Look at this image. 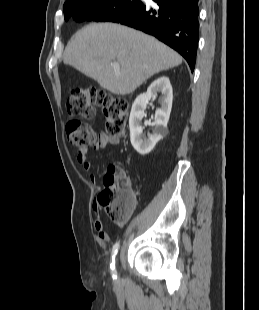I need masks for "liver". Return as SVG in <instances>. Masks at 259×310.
<instances>
[{
  "label": "liver",
  "mask_w": 259,
  "mask_h": 310,
  "mask_svg": "<svg viewBox=\"0 0 259 310\" xmlns=\"http://www.w3.org/2000/svg\"><path fill=\"white\" fill-rule=\"evenodd\" d=\"M63 62L115 95L134 92L160 71L176 67L182 57L152 36L113 23H94L68 42ZM112 63H119L115 70Z\"/></svg>",
  "instance_id": "obj_1"
}]
</instances>
